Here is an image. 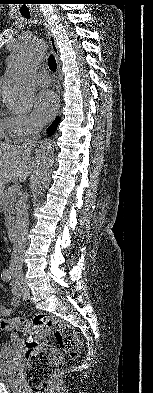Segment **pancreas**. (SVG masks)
<instances>
[{
  "label": "pancreas",
  "instance_id": "cf45deb5",
  "mask_svg": "<svg viewBox=\"0 0 153 393\" xmlns=\"http://www.w3.org/2000/svg\"><path fill=\"white\" fill-rule=\"evenodd\" d=\"M8 187L0 197V205L5 215V226L10 228L14 223V209L16 206L18 192H11Z\"/></svg>",
  "mask_w": 153,
  "mask_h": 393
}]
</instances>
